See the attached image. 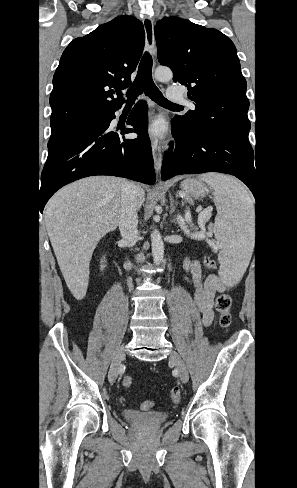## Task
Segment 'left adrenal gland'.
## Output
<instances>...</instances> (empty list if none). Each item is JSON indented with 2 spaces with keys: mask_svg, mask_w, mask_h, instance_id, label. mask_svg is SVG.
<instances>
[{
  "mask_svg": "<svg viewBox=\"0 0 297 488\" xmlns=\"http://www.w3.org/2000/svg\"><path fill=\"white\" fill-rule=\"evenodd\" d=\"M175 205H176V203H175V201H174V198H173V197H171V198H170V215H172V214L175 212V209H176V208H175ZM172 221H174L175 223H177V222H178V220H177V219H175V218H173V219H172Z\"/></svg>",
  "mask_w": 297,
  "mask_h": 488,
  "instance_id": "a2214340",
  "label": "left adrenal gland"
}]
</instances>
